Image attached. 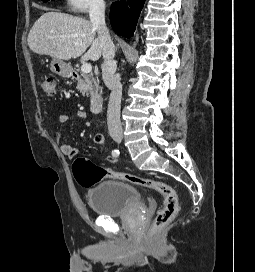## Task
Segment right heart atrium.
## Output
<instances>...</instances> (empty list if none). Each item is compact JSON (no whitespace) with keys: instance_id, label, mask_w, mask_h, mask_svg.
Returning <instances> with one entry per match:
<instances>
[{"instance_id":"1","label":"right heart atrium","mask_w":255,"mask_h":272,"mask_svg":"<svg viewBox=\"0 0 255 272\" xmlns=\"http://www.w3.org/2000/svg\"><path fill=\"white\" fill-rule=\"evenodd\" d=\"M104 5L105 0H67L68 8L78 13L100 10Z\"/></svg>"}]
</instances>
